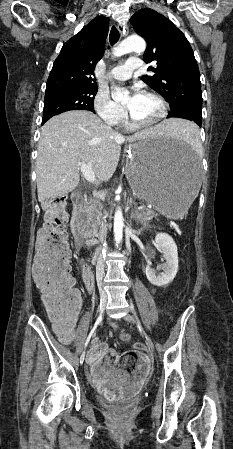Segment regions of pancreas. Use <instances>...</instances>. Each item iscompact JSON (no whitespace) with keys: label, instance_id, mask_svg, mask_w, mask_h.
<instances>
[{"label":"pancreas","instance_id":"cf45deb5","mask_svg":"<svg viewBox=\"0 0 233 449\" xmlns=\"http://www.w3.org/2000/svg\"><path fill=\"white\" fill-rule=\"evenodd\" d=\"M89 222L94 228V232H97L98 226L101 225L104 216L103 205L101 199L98 196L91 198L85 206ZM132 216L141 224H146L151 221L156 215L152 210L136 211Z\"/></svg>","mask_w":233,"mask_h":449}]
</instances>
